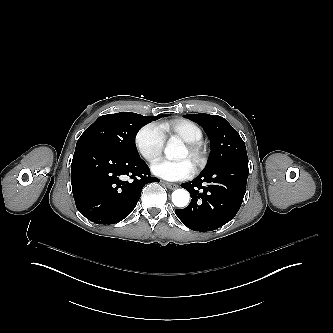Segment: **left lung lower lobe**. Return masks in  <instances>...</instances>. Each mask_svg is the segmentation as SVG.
I'll list each match as a JSON object with an SVG mask.
<instances>
[{"label": "left lung lower lobe", "mask_w": 333, "mask_h": 333, "mask_svg": "<svg viewBox=\"0 0 333 333\" xmlns=\"http://www.w3.org/2000/svg\"><path fill=\"white\" fill-rule=\"evenodd\" d=\"M248 160H233L181 184L191 195L190 204L176 209L177 217L194 231H213L232 220L246 192Z\"/></svg>", "instance_id": "left-lung-lower-lobe-1"}]
</instances>
